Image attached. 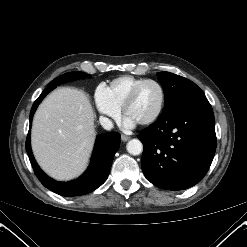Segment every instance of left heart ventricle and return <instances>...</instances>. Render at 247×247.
<instances>
[{"label":"left heart ventricle","instance_id":"b2bd125f","mask_svg":"<svg viewBox=\"0 0 247 247\" xmlns=\"http://www.w3.org/2000/svg\"><path fill=\"white\" fill-rule=\"evenodd\" d=\"M160 90L155 84L145 85L139 92L136 100L127 110V116L140 123L157 111L160 104Z\"/></svg>","mask_w":247,"mask_h":247}]
</instances>
